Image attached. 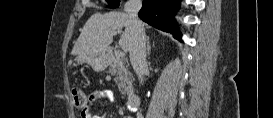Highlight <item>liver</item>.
Here are the masks:
<instances>
[{"label": "liver", "instance_id": "1", "mask_svg": "<svg viewBox=\"0 0 273 118\" xmlns=\"http://www.w3.org/2000/svg\"><path fill=\"white\" fill-rule=\"evenodd\" d=\"M125 28L119 45L128 51L132 39V26L129 15L124 12L95 13L85 23L71 54L91 55L104 53L113 41L115 30Z\"/></svg>", "mask_w": 273, "mask_h": 118}]
</instances>
